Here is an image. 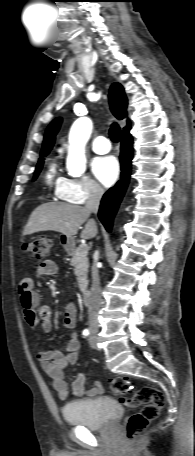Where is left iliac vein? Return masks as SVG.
<instances>
[{
    "instance_id": "left-iliac-vein-1",
    "label": "left iliac vein",
    "mask_w": 195,
    "mask_h": 456,
    "mask_svg": "<svg viewBox=\"0 0 195 456\" xmlns=\"http://www.w3.org/2000/svg\"><path fill=\"white\" fill-rule=\"evenodd\" d=\"M89 344L92 348H96V331H92L89 336Z\"/></svg>"
}]
</instances>
